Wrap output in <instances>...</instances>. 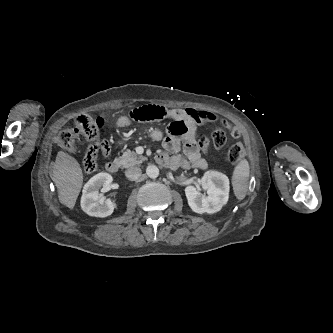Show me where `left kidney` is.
Returning <instances> with one entry per match:
<instances>
[{
    "instance_id": "obj_1",
    "label": "left kidney",
    "mask_w": 333,
    "mask_h": 333,
    "mask_svg": "<svg viewBox=\"0 0 333 333\" xmlns=\"http://www.w3.org/2000/svg\"><path fill=\"white\" fill-rule=\"evenodd\" d=\"M201 187L207 195L200 192V188L192 185L185 188L188 204L192 211L198 214L218 212L229 198V179L218 171H207L200 180Z\"/></svg>"
}]
</instances>
